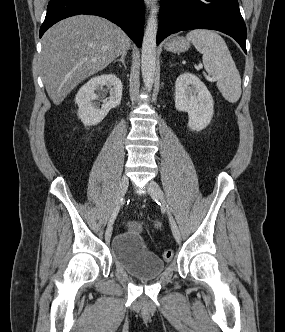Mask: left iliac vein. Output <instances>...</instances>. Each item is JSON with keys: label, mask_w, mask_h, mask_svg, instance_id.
<instances>
[{"label": "left iliac vein", "mask_w": 285, "mask_h": 332, "mask_svg": "<svg viewBox=\"0 0 285 332\" xmlns=\"http://www.w3.org/2000/svg\"><path fill=\"white\" fill-rule=\"evenodd\" d=\"M147 189H148L149 194L153 198L159 200L162 203V205L165 207V209L169 215V220H170V225H171L173 236H174L175 240L179 243L181 240L180 230H179L174 218L172 217V215L170 213V210L167 206V201L165 199L162 189L160 188L158 183L155 182L154 180L149 181V183L147 185Z\"/></svg>", "instance_id": "obj_1"}]
</instances>
